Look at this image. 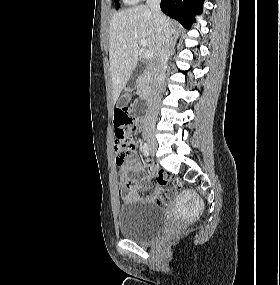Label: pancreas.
I'll return each instance as SVG.
<instances>
[{"instance_id":"obj_1","label":"pancreas","mask_w":280,"mask_h":285,"mask_svg":"<svg viewBox=\"0 0 280 285\" xmlns=\"http://www.w3.org/2000/svg\"><path fill=\"white\" fill-rule=\"evenodd\" d=\"M149 79L147 75L142 76L138 81L137 93L138 94H145L150 87Z\"/></svg>"}]
</instances>
